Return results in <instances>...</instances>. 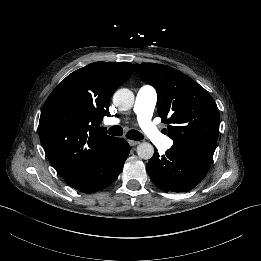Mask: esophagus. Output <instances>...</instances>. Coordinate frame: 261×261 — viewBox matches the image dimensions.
<instances>
[{"label": "esophagus", "instance_id": "esophagus-1", "mask_svg": "<svg viewBox=\"0 0 261 261\" xmlns=\"http://www.w3.org/2000/svg\"><path fill=\"white\" fill-rule=\"evenodd\" d=\"M128 143L130 144V146H136V145L140 144V141L128 140Z\"/></svg>", "mask_w": 261, "mask_h": 261}]
</instances>
